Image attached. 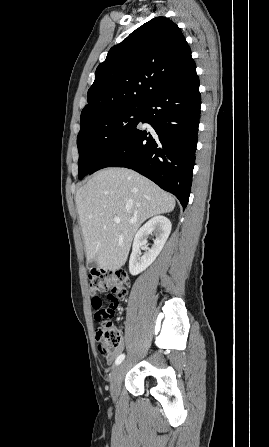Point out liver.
<instances>
[{
	"label": "liver",
	"instance_id": "liver-1",
	"mask_svg": "<svg viewBox=\"0 0 269 447\" xmlns=\"http://www.w3.org/2000/svg\"><path fill=\"white\" fill-rule=\"evenodd\" d=\"M76 206L87 261L114 271L124 265L138 227L152 216L172 212L175 200L133 170L105 168L77 190Z\"/></svg>",
	"mask_w": 269,
	"mask_h": 447
}]
</instances>
